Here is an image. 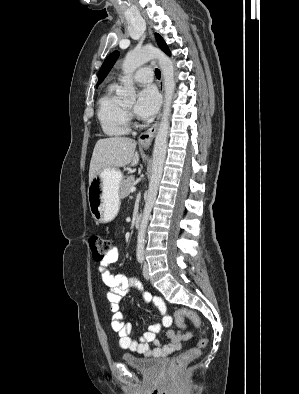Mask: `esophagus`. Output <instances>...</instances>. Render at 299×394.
Segmentation results:
<instances>
[{"mask_svg":"<svg viewBox=\"0 0 299 394\" xmlns=\"http://www.w3.org/2000/svg\"><path fill=\"white\" fill-rule=\"evenodd\" d=\"M149 34L151 36V38H153V34L152 31L149 30ZM159 88H160V92L163 94L164 92V80H163V76L161 77L160 81H159ZM161 117V112L159 113L157 120L155 121V123L145 132L141 133L138 137V141L139 144L145 148L149 147L152 143V140L156 134L158 125H159V120Z\"/></svg>","mask_w":299,"mask_h":394,"instance_id":"obj_1","label":"esophagus"}]
</instances>
